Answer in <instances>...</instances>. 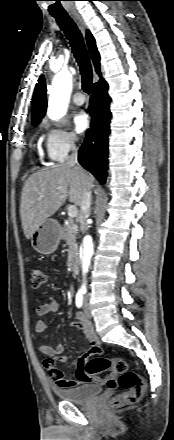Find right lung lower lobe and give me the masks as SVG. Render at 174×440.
Returning a JSON list of instances; mask_svg holds the SVG:
<instances>
[{"label": "right lung lower lobe", "instance_id": "right-lung-lower-lobe-1", "mask_svg": "<svg viewBox=\"0 0 174 440\" xmlns=\"http://www.w3.org/2000/svg\"><path fill=\"white\" fill-rule=\"evenodd\" d=\"M108 84L101 79L93 85L89 112L92 117L91 128L79 150L78 161L90 171L101 183L106 182L108 135L110 133Z\"/></svg>", "mask_w": 174, "mask_h": 440}]
</instances>
